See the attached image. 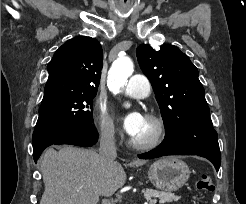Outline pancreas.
<instances>
[{"label":"pancreas","instance_id":"cf45deb5","mask_svg":"<svg viewBox=\"0 0 246 204\" xmlns=\"http://www.w3.org/2000/svg\"><path fill=\"white\" fill-rule=\"evenodd\" d=\"M145 198L151 199L152 197L158 198L161 203H168L172 201H178L180 200V196H177L171 192L167 191H158V190H153V189H146L144 192Z\"/></svg>","mask_w":246,"mask_h":204}]
</instances>
